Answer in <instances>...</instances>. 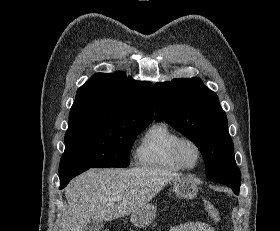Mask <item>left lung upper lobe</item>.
Instances as JSON below:
<instances>
[{"label": "left lung upper lobe", "mask_w": 280, "mask_h": 231, "mask_svg": "<svg viewBox=\"0 0 280 231\" xmlns=\"http://www.w3.org/2000/svg\"><path fill=\"white\" fill-rule=\"evenodd\" d=\"M157 121H166L201 151L209 180L234 171V145L218 96L199 78L156 83Z\"/></svg>", "instance_id": "5c2ea615"}]
</instances>
